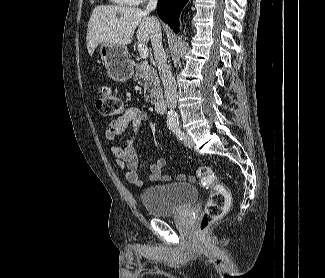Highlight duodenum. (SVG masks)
<instances>
[{
  "label": "duodenum",
  "instance_id": "obj_1",
  "mask_svg": "<svg viewBox=\"0 0 325 278\" xmlns=\"http://www.w3.org/2000/svg\"><path fill=\"white\" fill-rule=\"evenodd\" d=\"M153 106L155 111L158 113H164L166 110V102L163 98L156 99Z\"/></svg>",
  "mask_w": 325,
  "mask_h": 278
}]
</instances>
